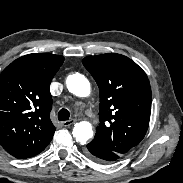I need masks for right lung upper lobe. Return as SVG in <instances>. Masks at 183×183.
<instances>
[{"instance_id": "right-lung-upper-lobe-1", "label": "right lung upper lobe", "mask_w": 183, "mask_h": 183, "mask_svg": "<svg viewBox=\"0 0 183 183\" xmlns=\"http://www.w3.org/2000/svg\"><path fill=\"white\" fill-rule=\"evenodd\" d=\"M64 58L49 53L22 56L0 75V144L25 159L41 153L55 127L50 120V83Z\"/></svg>"}]
</instances>
